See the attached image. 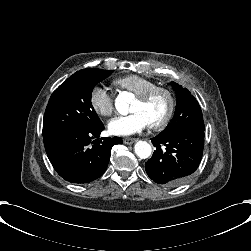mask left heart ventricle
<instances>
[{"label": "left heart ventricle", "mask_w": 251, "mask_h": 251, "mask_svg": "<svg viewBox=\"0 0 251 251\" xmlns=\"http://www.w3.org/2000/svg\"><path fill=\"white\" fill-rule=\"evenodd\" d=\"M169 107V97L164 92H158L149 102H143L139 99L133 104L132 110H142L150 120V123L161 119Z\"/></svg>", "instance_id": "b2bd125f"}]
</instances>
